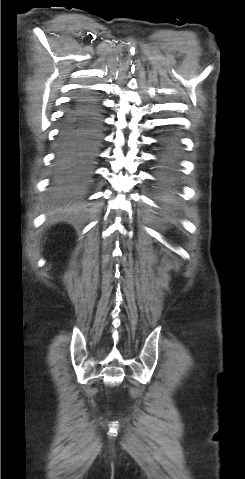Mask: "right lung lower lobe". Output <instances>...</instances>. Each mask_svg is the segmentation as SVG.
Instances as JSON below:
<instances>
[{"label":"right lung lower lobe","mask_w":245,"mask_h":479,"mask_svg":"<svg viewBox=\"0 0 245 479\" xmlns=\"http://www.w3.org/2000/svg\"><path fill=\"white\" fill-rule=\"evenodd\" d=\"M103 134V112L98 100L81 94L63 117L52 178V191L79 203L87 190Z\"/></svg>","instance_id":"obj_1"}]
</instances>
